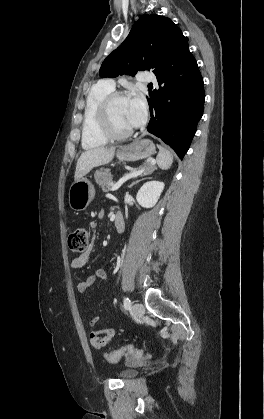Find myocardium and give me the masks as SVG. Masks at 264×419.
<instances>
[{
	"instance_id": "f54148a6",
	"label": "myocardium",
	"mask_w": 264,
	"mask_h": 419,
	"mask_svg": "<svg viewBox=\"0 0 264 419\" xmlns=\"http://www.w3.org/2000/svg\"><path fill=\"white\" fill-rule=\"evenodd\" d=\"M125 94L121 91H112L107 94L99 104L98 107V121L102 133L108 139H124L132 135L133 129L118 130L112 120L111 107L114 101L118 98H125Z\"/></svg>"
}]
</instances>
